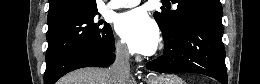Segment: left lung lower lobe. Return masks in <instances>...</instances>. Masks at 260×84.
<instances>
[{
  "label": "left lung lower lobe",
  "instance_id": "1",
  "mask_svg": "<svg viewBox=\"0 0 260 84\" xmlns=\"http://www.w3.org/2000/svg\"><path fill=\"white\" fill-rule=\"evenodd\" d=\"M222 35L220 16H192L173 34H163V55L148 62L147 68L161 73H200L227 84Z\"/></svg>",
  "mask_w": 260,
  "mask_h": 84
}]
</instances>
